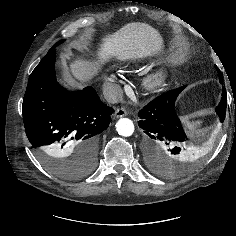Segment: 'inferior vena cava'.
Segmentation results:
<instances>
[{
  "label": "inferior vena cava",
  "mask_w": 236,
  "mask_h": 236,
  "mask_svg": "<svg viewBox=\"0 0 236 236\" xmlns=\"http://www.w3.org/2000/svg\"><path fill=\"white\" fill-rule=\"evenodd\" d=\"M104 98L108 103H118L123 98V90L119 85H112L106 90H104Z\"/></svg>",
  "instance_id": "1"
}]
</instances>
